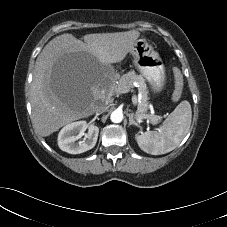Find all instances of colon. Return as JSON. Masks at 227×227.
I'll return each mask as SVG.
<instances>
[{
    "label": "colon",
    "instance_id": "5ec220e1",
    "mask_svg": "<svg viewBox=\"0 0 227 227\" xmlns=\"http://www.w3.org/2000/svg\"><path fill=\"white\" fill-rule=\"evenodd\" d=\"M174 78H175V90L173 93L174 100H178L182 93L183 88V78L182 74L178 69L173 70Z\"/></svg>",
    "mask_w": 227,
    "mask_h": 227
}]
</instances>
